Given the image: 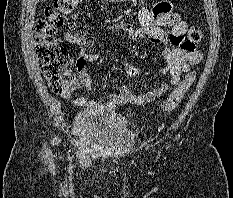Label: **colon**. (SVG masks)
<instances>
[{"label": "colon", "mask_w": 233, "mask_h": 198, "mask_svg": "<svg viewBox=\"0 0 233 198\" xmlns=\"http://www.w3.org/2000/svg\"><path fill=\"white\" fill-rule=\"evenodd\" d=\"M81 0H55L52 6L45 10L44 17L39 19L34 27V45L36 56L44 77L50 89L56 93H64L74 85L75 75L69 67L68 55L65 47L57 39L59 28L66 27L68 39L71 42L85 44L88 36L83 31H76L72 23H67L66 16H75L79 10ZM202 38V31L197 26L189 28L184 43L188 49H193L195 43ZM81 61H77V64ZM198 60L188 62L182 71L188 73L181 83L167 96L161 105L163 112L172 111L182 100L184 94L196 77L195 70L190 67Z\"/></svg>", "instance_id": "colon-1"}]
</instances>
